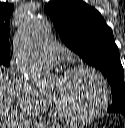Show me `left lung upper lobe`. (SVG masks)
Listing matches in <instances>:
<instances>
[{"mask_svg":"<svg viewBox=\"0 0 125 128\" xmlns=\"http://www.w3.org/2000/svg\"><path fill=\"white\" fill-rule=\"evenodd\" d=\"M67 47L99 69L112 87L109 112H125V83L119 49L101 14L81 0H56L45 5Z\"/></svg>","mask_w":125,"mask_h":128,"instance_id":"1","label":"left lung upper lobe"}]
</instances>
